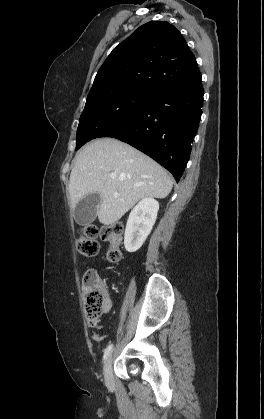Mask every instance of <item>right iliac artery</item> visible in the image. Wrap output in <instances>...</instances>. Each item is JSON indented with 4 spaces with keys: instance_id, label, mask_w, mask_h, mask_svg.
Returning a JSON list of instances; mask_svg holds the SVG:
<instances>
[{
    "instance_id": "obj_1",
    "label": "right iliac artery",
    "mask_w": 264,
    "mask_h": 419,
    "mask_svg": "<svg viewBox=\"0 0 264 419\" xmlns=\"http://www.w3.org/2000/svg\"><path fill=\"white\" fill-rule=\"evenodd\" d=\"M112 348H113V344H110V345L107 346V348L105 349V352H104L103 360H105L108 357V355L112 351Z\"/></svg>"
}]
</instances>
